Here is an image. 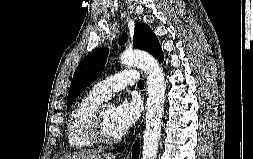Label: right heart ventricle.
<instances>
[{
    "mask_svg": "<svg viewBox=\"0 0 253 159\" xmlns=\"http://www.w3.org/2000/svg\"><path fill=\"white\" fill-rule=\"evenodd\" d=\"M103 100L90 91L75 105L67 125L68 144L71 148L86 150L94 146L88 129L94 112Z\"/></svg>",
    "mask_w": 253,
    "mask_h": 159,
    "instance_id": "e07e8e85",
    "label": "right heart ventricle"
}]
</instances>
